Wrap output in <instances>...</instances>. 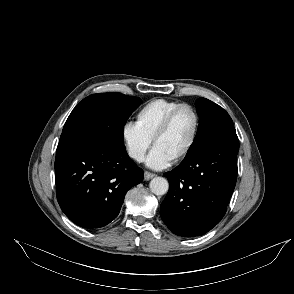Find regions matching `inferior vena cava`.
I'll use <instances>...</instances> for the list:
<instances>
[{
	"instance_id": "inferior-vena-cava-1",
	"label": "inferior vena cava",
	"mask_w": 294,
	"mask_h": 294,
	"mask_svg": "<svg viewBox=\"0 0 294 294\" xmlns=\"http://www.w3.org/2000/svg\"><path fill=\"white\" fill-rule=\"evenodd\" d=\"M129 155L139 162H142L144 159V154L141 151L133 150L129 152Z\"/></svg>"
}]
</instances>
